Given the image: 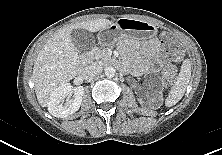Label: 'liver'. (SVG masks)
Listing matches in <instances>:
<instances>
[{"mask_svg":"<svg viewBox=\"0 0 222 155\" xmlns=\"http://www.w3.org/2000/svg\"><path fill=\"white\" fill-rule=\"evenodd\" d=\"M108 19L83 21L61 29L39 51L34 63L32 79L39 104L48 105L52 92L72 80L80 70L78 53L70 40L75 29L97 32L109 27Z\"/></svg>","mask_w":222,"mask_h":155,"instance_id":"liver-1","label":"liver"}]
</instances>
